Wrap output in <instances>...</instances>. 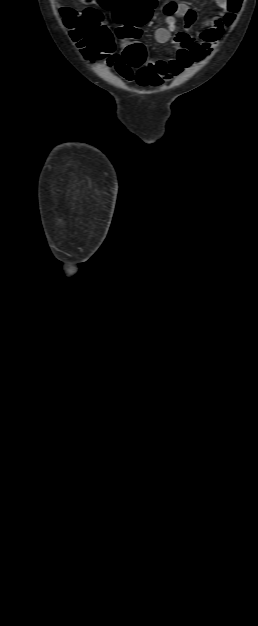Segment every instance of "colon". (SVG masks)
Instances as JSON below:
<instances>
[{"mask_svg": "<svg viewBox=\"0 0 258 626\" xmlns=\"http://www.w3.org/2000/svg\"><path fill=\"white\" fill-rule=\"evenodd\" d=\"M89 4L82 11L63 7L61 13L70 30L71 37L88 59H101L114 53V37L103 22L99 8L113 10L121 26L119 37L136 38L140 27L150 18L157 0H83ZM242 0H227L226 23H230L238 12ZM125 60L132 66L145 63L146 52L141 44H132L123 51Z\"/></svg>", "mask_w": 258, "mask_h": 626, "instance_id": "5ec220e1", "label": "colon"}]
</instances>
